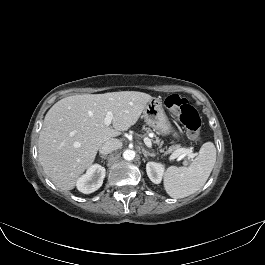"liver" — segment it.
I'll list each match as a JSON object with an SVG mask.
<instances>
[{"label": "liver", "instance_id": "1", "mask_svg": "<svg viewBox=\"0 0 265 265\" xmlns=\"http://www.w3.org/2000/svg\"><path fill=\"white\" fill-rule=\"evenodd\" d=\"M150 100L146 93L121 91L74 95L55 103L39 135L45 173L61 190L73 189L101 145L133 126ZM108 111L113 113V128L104 123Z\"/></svg>", "mask_w": 265, "mask_h": 265}]
</instances>
